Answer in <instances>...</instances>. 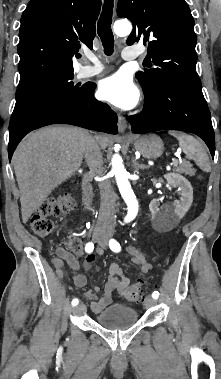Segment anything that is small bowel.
Instances as JSON below:
<instances>
[{
  "mask_svg": "<svg viewBox=\"0 0 221 379\" xmlns=\"http://www.w3.org/2000/svg\"><path fill=\"white\" fill-rule=\"evenodd\" d=\"M101 253L100 250L97 251ZM129 253L132 256V261L136 264L140 271L145 274L150 270V264L147 262L145 256L140 250L135 247L129 248ZM58 258L53 261L54 266L60 276H62L63 262H66L69 267L75 272L73 281L77 287H84L86 285V277L79 273L80 264L77 258L69 251L60 249L58 251ZM95 261L94 254H88L83 263V267L86 270L91 269L92 264ZM109 278L106 283L101 297L97 296V293L101 290L100 286L96 285L92 289L87 290L84 295L91 302V309L95 313L101 312L107 306L112 303L113 292H123L130 285L129 278L124 274L121 266L117 263H112L109 267Z\"/></svg>",
  "mask_w": 221,
  "mask_h": 379,
  "instance_id": "obj_1",
  "label": "small bowel"
}]
</instances>
